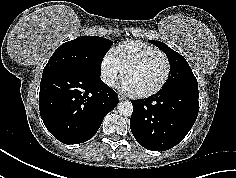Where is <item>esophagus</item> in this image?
Listing matches in <instances>:
<instances>
[{
	"label": "esophagus",
	"instance_id": "esophagus-1",
	"mask_svg": "<svg viewBox=\"0 0 236 178\" xmlns=\"http://www.w3.org/2000/svg\"><path fill=\"white\" fill-rule=\"evenodd\" d=\"M118 99H119L120 101H122V100L125 99V97H124L122 94H118Z\"/></svg>",
	"mask_w": 236,
	"mask_h": 178
}]
</instances>
